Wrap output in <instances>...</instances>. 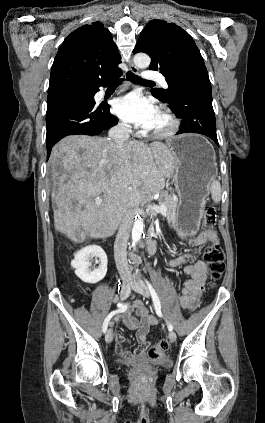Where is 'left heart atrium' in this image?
<instances>
[{"label": "left heart atrium", "instance_id": "obj_1", "mask_svg": "<svg viewBox=\"0 0 265 423\" xmlns=\"http://www.w3.org/2000/svg\"><path fill=\"white\" fill-rule=\"evenodd\" d=\"M114 111L124 121L149 129L158 108L151 99L141 93L132 92L116 100Z\"/></svg>", "mask_w": 265, "mask_h": 423}]
</instances>
